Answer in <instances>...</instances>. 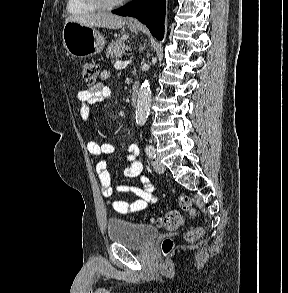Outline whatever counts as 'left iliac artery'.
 <instances>
[{"mask_svg": "<svg viewBox=\"0 0 288 293\" xmlns=\"http://www.w3.org/2000/svg\"><path fill=\"white\" fill-rule=\"evenodd\" d=\"M145 151H146L147 155L149 156V158L153 159L156 157L155 149L152 145L146 146Z\"/></svg>", "mask_w": 288, "mask_h": 293, "instance_id": "1", "label": "left iliac artery"}]
</instances>
